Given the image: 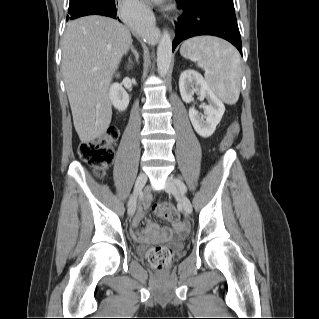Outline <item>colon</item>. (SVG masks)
Returning <instances> with one entry per match:
<instances>
[{
	"instance_id": "obj_1",
	"label": "colon",
	"mask_w": 319,
	"mask_h": 319,
	"mask_svg": "<svg viewBox=\"0 0 319 319\" xmlns=\"http://www.w3.org/2000/svg\"><path fill=\"white\" fill-rule=\"evenodd\" d=\"M240 130L238 122L233 121L227 134L220 143L221 150H227L233 144ZM119 135L118 129L109 127L99 137L83 142L79 145L78 154L88 162L97 175H102L103 170L111 165L114 159V145ZM154 212L157 217L163 220L175 221L179 215L176 209L170 203H160L154 206ZM173 260V251L165 246H156L149 249L147 253V262L158 271H164Z\"/></svg>"
}]
</instances>
